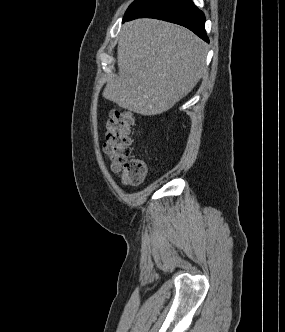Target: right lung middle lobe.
Instances as JSON below:
<instances>
[{
	"mask_svg": "<svg viewBox=\"0 0 285 332\" xmlns=\"http://www.w3.org/2000/svg\"><path fill=\"white\" fill-rule=\"evenodd\" d=\"M147 1L149 0H135L127 9L124 19L130 16L135 11H137L139 8H141Z\"/></svg>",
	"mask_w": 285,
	"mask_h": 332,
	"instance_id": "dd1d6c3e",
	"label": "right lung middle lobe"
}]
</instances>
